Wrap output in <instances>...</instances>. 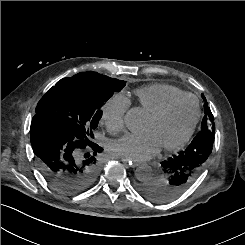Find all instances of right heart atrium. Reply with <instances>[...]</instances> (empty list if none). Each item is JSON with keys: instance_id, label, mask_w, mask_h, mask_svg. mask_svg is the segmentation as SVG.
<instances>
[{"instance_id": "1", "label": "right heart atrium", "mask_w": 245, "mask_h": 245, "mask_svg": "<svg viewBox=\"0 0 245 245\" xmlns=\"http://www.w3.org/2000/svg\"><path fill=\"white\" fill-rule=\"evenodd\" d=\"M130 106V101L119 94L110 97L102 107V120L107 129L117 134L124 129L125 114Z\"/></svg>"}]
</instances>
